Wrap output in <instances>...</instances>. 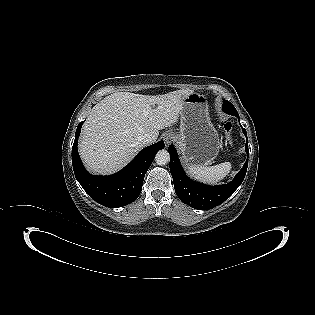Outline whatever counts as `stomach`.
<instances>
[{
    "label": "stomach",
    "instance_id": "1",
    "mask_svg": "<svg viewBox=\"0 0 315 315\" xmlns=\"http://www.w3.org/2000/svg\"><path fill=\"white\" fill-rule=\"evenodd\" d=\"M180 121L175 142L183 163L186 166L210 164L217 157L221 143L209 118L205 95L194 92L184 99Z\"/></svg>",
    "mask_w": 315,
    "mask_h": 315
}]
</instances>
